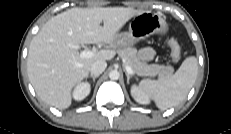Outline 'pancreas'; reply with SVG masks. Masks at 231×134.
Wrapping results in <instances>:
<instances>
[{"instance_id": "pancreas-1", "label": "pancreas", "mask_w": 231, "mask_h": 134, "mask_svg": "<svg viewBox=\"0 0 231 134\" xmlns=\"http://www.w3.org/2000/svg\"><path fill=\"white\" fill-rule=\"evenodd\" d=\"M119 56L124 60L125 66L128 65L133 69L134 74L148 77H167L171 76L174 68L171 65L147 64L139 61L137 58V49L125 47L118 49Z\"/></svg>"}]
</instances>
